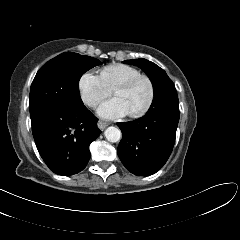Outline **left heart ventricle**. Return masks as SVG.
<instances>
[{"label": "left heart ventricle", "instance_id": "1", "mask_svg": "<svg viewBox=\"0 0 240 240\" xmlns=\"http://www.w3.org/2000/svg\"><path fill=\"white\" fill-rule=\"evenodd\" d=\"M118 97L123 98L131 112L140 110L149 98V86L145 81L137 83L130 89H119L115 93Z\"/></svg>", "mask_w": 240, "mask_h": 240}]
</instances>
